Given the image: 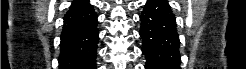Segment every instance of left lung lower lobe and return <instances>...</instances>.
I'll return each instance as SVG.
<instances>
[{
	"label": "left lung lower lobe",
	"mask_w": 246,
	"mask_h": 69,
	"mask_svg": "<svg viewBox=\"0 0 246 69\" xmlns=\"http://www.w3.org/2000/svg\"><path fill=\"white\" fill-rule=\"evenodd\" d=\"M146 69H180L176 19L165 0H148L140 16Z\"/></svg>",
	"instance_id": "obj_1"
}]
</instances>
